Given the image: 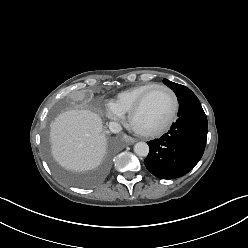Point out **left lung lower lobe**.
Masks as SVG:
<instances>
[{"mask_svg":"<svg viewBox=\"0 0 248 248\" xmlns=\"http://www.w3.org/2000/svg\"><path fill=\"white\" fill-rule=\"evenodd\" d=\"M178 120L160 139L148 142L144 160L155 176L174 179L187 174L201 159L207 139V118L195 95L179 101Z\"/></svg>","mask_w":248,"mask_h":248,"instance_id":"left-lung-lower-lobe-1","label":"left lung lower lobe"}]
</instances>
